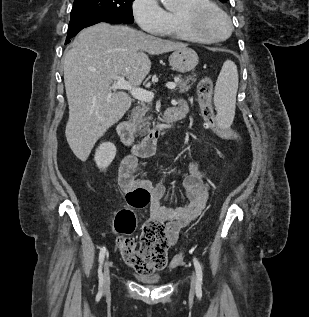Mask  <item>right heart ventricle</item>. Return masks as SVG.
<instances>
[{"mask_svg": "<svg viewBox=\"0 0 309 317\" xmlns=\"http://www.w3.org/2000/svg\"><path fill=\"white\" fill-rule=\"evenodd\" d=\"M198 3H210V1L209 0H181L180 8L183 6L193 5ZM179 9L166 11V16L168 21L167 27H166L167 28L166 34L177 39L195 40L192 37H190L188 34H186L181 28V26L179 25V22H178Z\"/></svg>", "mask_w": 309, "mask_h": 317, "instance_id": "right-heart-ventricle-1", "label": "right heart ventricle"}]
</instances>
